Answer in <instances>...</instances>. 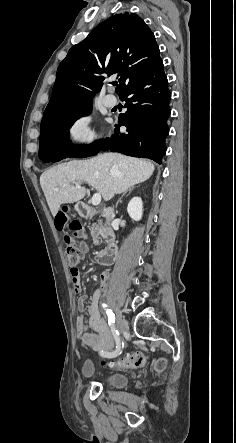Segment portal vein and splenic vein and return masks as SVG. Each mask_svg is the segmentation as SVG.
Returning a JSON list of instances; mask_svg holds the SVG:
<instances>
[{
	"label": "portal vein and splenic vein",
	"mask_w": 236,
	"mask_h": 443,
	"mask_svg": "<svg viewBox=\"0 0 236 443\" xmlns=\"http://www.w3.org/2000/svg\"><path fill=\"white\" fill-rule=\"evenodd\" d=\"M81 184H83V181L76 182L75 185H76L77 188H80ZM100 202H101V195L98 194V193L94 194L93 197H92V205L93 206H98L100 204Z\"/></svg>",
	"instance_id": "obj_1"
}]
</instances>
